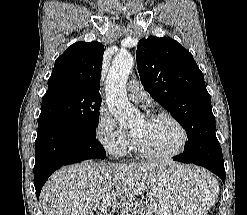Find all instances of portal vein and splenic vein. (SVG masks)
<instances>
[{"instance_id":"18ae733b","label":"portal vein and splenic vein","mask_w":247,"mask_h":215,"mask_svg":"<svg viewBox=\"0 0 247 215\" xmlns=\"http://www.w3.org/2000/svg\"><path fill=\"white\" fill-rule=\"evenodd\" d=\"M100 205L102 207H104V208H110L112 206V202L108 198H103V200L100 203ZM127 215H132V214L131 213H127Z\"/></svg>"}]
</instances>
